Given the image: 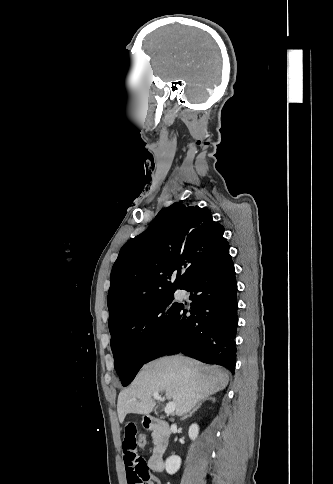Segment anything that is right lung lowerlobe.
Segmentation results:
<instances>
[{"label":"right lung lower lobe","mask_w":333,"mask_h":484,"mask_svg":"<svg viewBox=\"0 0 333 484\" xmlns=\"http://www.w3.org/2000/svg\"><path fill=\"white\" fill-rule=\"evenodd\" d=\"M182 289L192 294L190 310L179 305L171 325L151 349L144 364L181 352L206 363L223 365L234 373L237 283L229 245ZM187 312L191 315H186Z\"/></svg>","instance_id":"1"}]
</instances>
